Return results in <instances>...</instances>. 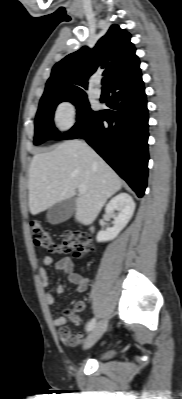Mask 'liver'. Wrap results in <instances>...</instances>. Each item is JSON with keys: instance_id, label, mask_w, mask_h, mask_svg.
I'll list each match as a JSON object with an SVG mask.
<instances>
[{"instance_id": "6515ba94", "label": "liver", "mask_w": 182, "mask_h": 399, "mask_svg": "<svg viewBox=\"0 0 182 399\" xmlns=\"http://www.w3.org/2000/svg\"><path fill=\"white\" fill-rule=\"evenodd\" d=\"M79 185L86 193L76 199L75 219L91 224L107 199L122 187L115 171L86 143L70 140L50 152L33 156L29 169V210L37 215L72 198Z\"/></svg>"}]
</instances>
